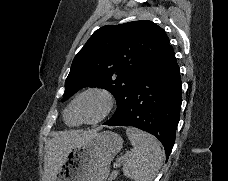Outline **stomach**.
Here are the masks:
<instances>
[{"label": "stomach", "mask_w": 228, "mask_h": 181, "mask_svg": "<svg viewBox=\"0 0 228 181\" xmlns=\"http://www.w3.org/2000/svg\"><path fill=\"white\" fill-rule=\"evenodd\" d=\"M122 145L116 133H96L71 149L55 181H107L111 161L120 153Z\"/></svg>", "instance_id": "0dacf381"}]
</instances>
